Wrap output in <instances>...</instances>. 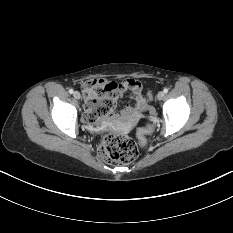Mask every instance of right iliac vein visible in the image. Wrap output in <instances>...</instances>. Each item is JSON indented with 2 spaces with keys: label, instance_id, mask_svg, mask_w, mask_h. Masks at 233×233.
Listing matches in <instances>:
<instances>
[{
  "label": "right iliac vein",
  "instance_id": "63e3f726",
  "mask_svg": "<svg viewBox=\"0 0 233 233\" xmlns=\"http://www.w3.org/2000/svg\"><path fill=\"white\" fill-rule=\"evenodd\" d=\"M73 96H74L76 99H80V98H81V95H80V93H79L78 91H75V92L73 93Z\"/></svg>",
  "mask_w": 233,
  "mask_h": 233
}]
</instances>
